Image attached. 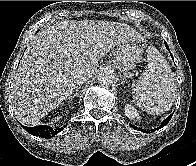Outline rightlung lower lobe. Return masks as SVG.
<instances>
[{
	"mask_svg": "<svg viewBox=\"0 0 196 166\" xmlns=\"http://www.w3.org/2000/svg\"><path fill=\"white\" fill-rule=\"evenodd\" d=\"M67 125L61 127V128H57V129H53L50 126L47 125H39V126H35V127H26L23 126L22 127L30 134L34 135V136H39L42 138H51L54 137L57 133H59L60 131H62Z\"/></svg>",
	"mask_w": 196,
	"mask_h": 166,
	"instance_id": "right-lung-lower-lobe-1",
	"label": "right lung lower lobe"
}]
</instances>
